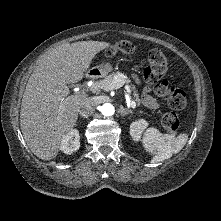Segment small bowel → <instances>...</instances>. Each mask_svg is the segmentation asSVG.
<instances>
[{
    "mask_svg": "<svg viewBox=\"0 0 221 221\" xmlns=\"http://www.w3.org/2000/svg\"><path fill=\"white\" fill-rule=\"evenodd\" d=\"M142 99L144 104L151 109H158L160 107L158 102L150 96L148 88L144 89Z\"/></svg>",
    "mask_w": 221,
    "mask_h": 221,
    "instance_id": "obj_1",
    "label": "small bowel"
}]
</instances>
